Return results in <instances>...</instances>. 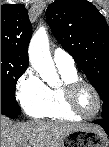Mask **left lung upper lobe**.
Listing matches in <instances>:
<instances>
[{"label": "left lung upper lobe", "instance_id": "5c2ea615", "mask_svg": "<svg viewBox=\"0 0 109 147\" xmlns=\"http://www.w3.org/2000/svg\"><path fill=\"white\" fill-rule=\"evenodd\" d=\"M46 19L100 95L101 118H109V27L104 16L87 0H56Z\"/></svg>", "mask_w": 109, "mask_h": 147}]
</instances>
